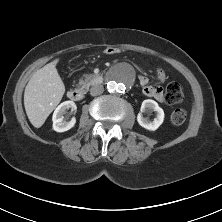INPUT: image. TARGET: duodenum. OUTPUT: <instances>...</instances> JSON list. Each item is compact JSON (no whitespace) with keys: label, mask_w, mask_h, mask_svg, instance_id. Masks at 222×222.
I'll list each match as a JSON object with an SVG mask.
<instances>
[{"label":"duodenum","mask_w":222,"mask_h":222,"mask_svg":"<svg viewBox=\"0 0 222 222\" xmlns=\"http://www.w3.org/2000/svg\"><path fill=\"white\" fill-rule=\"evenodd\" d=\"M91 82L93 85L101 84L103 82V75L94 76ZM84 95V91L80 88H71L67 93L68 98L72 101H80L84 98Z\"/></svg>","instance_id":"obj_1"}]
</instances>
